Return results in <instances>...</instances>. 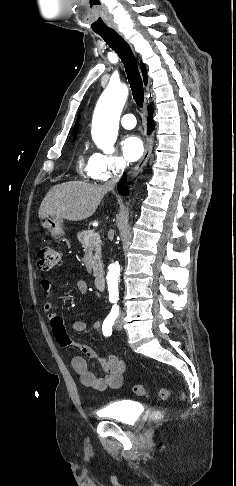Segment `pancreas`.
<instances>
[{
	"label": "pancreas",
	"mask_w": 236,
	"mask_h": 486,
	"mask_svg": "<svg viewBox=\"0 0 236 486\" xmlns=\"http://www.w3.org/2000/svg\"><path fill=\"white\" fill-rule=\"evenodd\" d=\"M77 238L84 249L92 248L95 251L93 256V275L97 276L102 271V263L100 259L101 243L96 240L94 231L86 230L77 234Z\"/></svg>",
	"instance_id": "pancreas-1"
}]
</instances>
